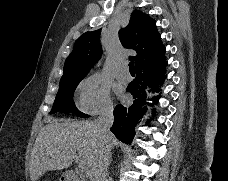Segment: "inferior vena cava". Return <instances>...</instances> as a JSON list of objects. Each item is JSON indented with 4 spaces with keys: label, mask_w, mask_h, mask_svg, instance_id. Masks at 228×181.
I'll return each instance as SVG.
<instances>
[{
    "label": "inferior vena cava",
    "mask_w": 228,
    "mask_h": 181,
    "mask_svg": "<svg viewBox=\"0 0 228 181\" xmlns=\"http://www.w3.org/2000/svg\"><path fill=\"white\" fill-rule=\"evenodd\" d=\"M113 123V107L112 105H105V107L101 109L93 129H96V133H98L102 139H105L106 135H109L110 127H112ZM110 151L111 147H108V145H101L100 149L95 151L91 161V181H106Z\"/></svg>",
    "instance_id": "1"
}]
</instances>
